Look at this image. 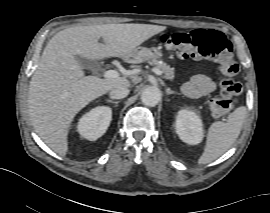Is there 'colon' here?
Instances as JSON below:
<instances>
[{
	"label": "colon",
	"mask_w": 270,
	"mask_h": 213,
	"mask_svg": "<svg viewBox=\"0 0 270 213\" xmlns=\"http://www.w3.org/2000/svg\"><path fill=\"white\" fill-rule=\"evenodd\" d=\"M161 44L184 59L216 60L226 77L221 81V96L209 100L208 107L214 116H221L232 108L234 97L240 94L242 86L232 78L237 74L238 66L232 45L221 32L213 29H198L190 33L175 32L163 36Z\"/></svg>",
	"instance_id": "colon-1"
}]
</instances>
